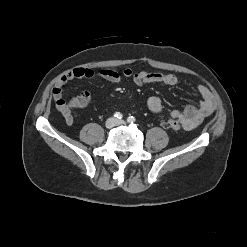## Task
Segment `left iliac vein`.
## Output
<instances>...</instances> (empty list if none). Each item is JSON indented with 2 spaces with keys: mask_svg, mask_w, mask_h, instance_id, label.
Wrapping results in <instances>:
<instances>
[{
  "mask_svg": "<svg viewBox=\"0 0 247 247\" xmlns=\"http://www.w3.org/2000/svg\"><path fill=\"white\" fill-rule=\"evenodd\" d=\"M126 121L124 120H116V125H125Z\"/></svg>",
  "mask_w": 247,
  "mask_h": 247,
  "instance_id": "1",
  "label": "left iliac vein"
}]
</instances>
